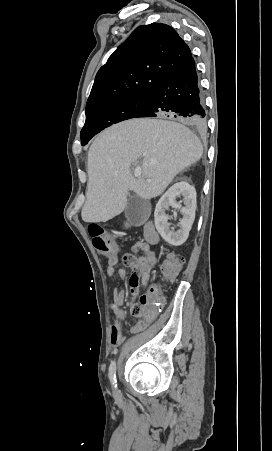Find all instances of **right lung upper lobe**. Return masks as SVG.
I'll use <instances>...</instances> for the list:
<instances>
[{
  "label": "right lung upper lobe",
  "instance_id": "right-lung-upper-lobe-1",
  "mask_svg": "<svg viewBox=\"0 0 272 451\" xmlns=\"http://www.w3.org/2000/svg\"><path fill=\"white\" fill-rule=\"evenodd\" d=\"M192 57L170 26H140L120 45L95 78L86 109L123 96L150 93Z\"/></svg>",
  "mask_w": 272,
  "mask_h": 451
}]
</instances>
